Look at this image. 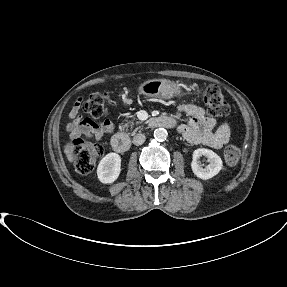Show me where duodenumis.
<instances>
[{"label":"duodenum","instance_id":"obj_1","mask_svg":"<svg viewBox=\"0 0 287 287\" xmlns=\"http://www.w3.org/2000/svg\"><path fill=\"white\" fill-rule=\"evenodd\" d=\"M149 125L152 128H171L174 126V121L167 116H158L152 118L149 122ZM111 145L116 152H125L130 148V140L125 134L117 133L112 137Z\"/></svg>","mask_w":287,"mask_h":287}]
</instances>
